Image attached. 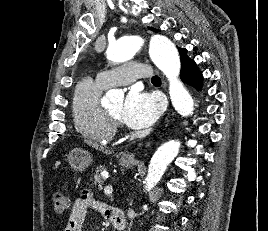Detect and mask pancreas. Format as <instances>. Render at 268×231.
Listing matches in <instances>:
<instances>
[{
    "instance_id": "1",
    "label": "pancreas",
    "mask_w": 268,
    "mask_h": 231,
    "mask_svg": "<svg viewBox=\"0 0 268 231\" xmlns=\"http://www.w3.org/2000/svg\"><path fill=\"white\" fill-rule=\"evenodd\" d=\"M104 170L103 166H99L96 168L95 175H94V184L98 185L99 189H103L102 184L104 183V180L100 174V172Z\"/></svg>"
}]
</instances>
